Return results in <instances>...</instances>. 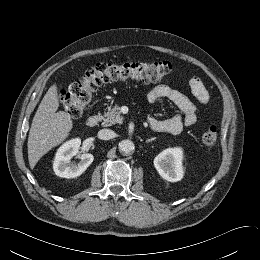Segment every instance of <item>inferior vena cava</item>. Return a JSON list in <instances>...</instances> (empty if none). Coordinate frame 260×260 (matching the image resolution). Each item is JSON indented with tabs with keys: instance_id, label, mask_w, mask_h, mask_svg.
<instances>
[{
	"instance_id": "1",
	"label": "inferior vena cava",
	"mask_w": 260,
	"mask_h": 260,
	"mask_svg": "<svg viewBox=\"0 0 260 260\" xmlns=\"http://www.w3.org/2000/svg\"><path fill=\"white\" fill-rule=\"evenodd\" d=\"M114 137V132L110 129H102L98 132V138L101 140H110Z\"/></svg>"
}]
</instances>
